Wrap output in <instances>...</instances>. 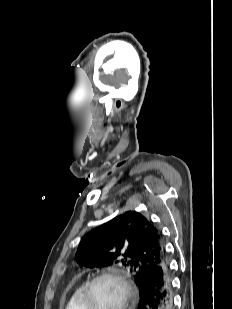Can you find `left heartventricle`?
<instances>
[{
  "mask_svg": "<svg viewBox=\"0 0 232 309\" xmlns=\"http://www.w3.org/2000/svg\"><path fill=\"white\" fill-rule=\"evenodd\" d=\"M122 298V287L113 279L97 281L91 291V303L94 309H118Z\"/></svg>",
  "mask_w": 232,
  "mask_h": 309,
  "instance_id": "obj_1",
  "label": "left heart ventricle"
}]
</instances>
